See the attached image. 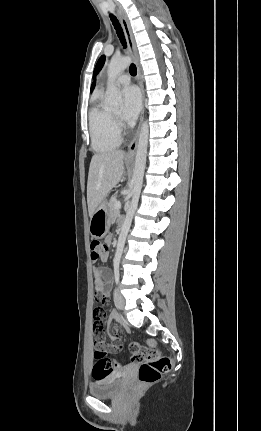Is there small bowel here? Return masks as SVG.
Returning <instances> with one entry per match:
<instances>
[{
	"label": "small bowel",
	"mask_w": 261,
	"mask_h": 431,
	"mask_svg": "<svg viewBox=\"0 0 261 431\" xmlns=\"http://www.w3.org/2000/svg\"><path fill=\"white\" fill-rule=\"evenodd\" d=\"M112 241V237L108 236L106 238V242L110 243ZM102 261L108 260V254H106L104 257L101 258ZM93 274L95 278V286H94V295H93V311L91 313V316L94 320V345L104 351L107 352H118L122 348V344L120 342V330L118 327H112L110 329L111 338L110 341L107 343L103 341L104 334H105V327L107 320L102 316L107 315L108 310L105 308V303L107 300V297L110 293V285L112 282V274L107 268H101V267H94L93 268ZM118 319V315L115 312H111L108 317V322L110 323L113 320ZM138 345H133L132 349H130V354H135L136 350H138ZM114 363L117 361H113ZM122 370V366H121ZM93 374V372H92Z\"/></svg>",
	"instance_id": "c3829d8e"
}]
</instances>
